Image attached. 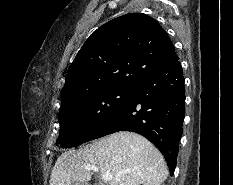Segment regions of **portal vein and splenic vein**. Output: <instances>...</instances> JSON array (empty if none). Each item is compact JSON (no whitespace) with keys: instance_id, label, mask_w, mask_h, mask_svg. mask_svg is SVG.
<instances>
[{"instance_id":"18ae733b","label":"portal vein and splenic vein","mask_w":233,"mask_h":185,"mask_svg":"<svg viewBox=\"0 0 233 185\" xmlns=\"http://www.w3.org/2000/svg\"><path fill=\"white\" fill-rule=\"evenodd\" d=\"M83 168L86 169V170H92L94 172L99 171V169L96 166L90 165V164L84 165ZM112 178H113L112 175L109 174V173L102 174V179L104 181H110V180H112Z\"/></svg>"}]
</instances>
